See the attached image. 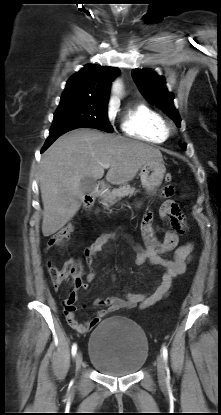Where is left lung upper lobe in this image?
<instances>
[{"mask_svg":"<svg viewBox=\"0 0 221 415\" xmlns=\"http://www.w3.org/2000/svg\"><path fill=\"white\" fill-rule=\"evenodd\" d=\"M141 94L151 104L161 108L180 127L181 119L173 104V94L167 90L164 77L152 69H134L131 72ZM185 150L186 144H180Z\"/></svg>","mask_w":221,"mask_h":415,"instance_id":"obj_1","label":"left lung upper lobe"}]
</instances>
